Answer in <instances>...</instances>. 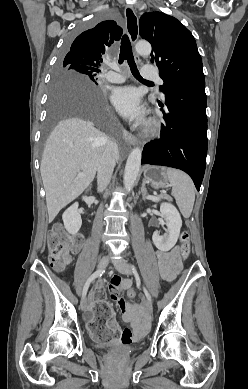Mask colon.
Wrapping results in <instances>:
<instances>
[{"instance_id":"1","label":"colon","mask_w":248,"mask_h":389,"mask_svg":"<svg viewBox=\"0 0 248 389\" xmlns=\"http://www.w3.org/2000/svg\"><path fill=\"white\" fill-rule=\"evenodd\" d=\"M181 254L183 258H187L190 253V234L183 231L180 235ZM82 241L78 236H70L64 230L61 224H56L48 237L49 262L53 269L57 271L63 270L71 253L77 252L81 247ZM111 285V282H110ZM134 286L127 291V296L133 299L136 295ZM95 296L92 301L95 303L93 307L94 322L89 323L88 332L91 337H96L98 344H109L112 338L117 339L120 335L119 330H112L107 323L111 321L112 311L111 306L106 301V293L104 286L97 283L95 288Z\"/></svg>"}]
</instances>
